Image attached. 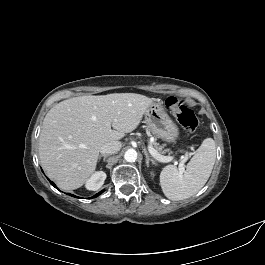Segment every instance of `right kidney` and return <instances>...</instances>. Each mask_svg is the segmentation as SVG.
Returning a JSON list of instances; mask_svg holds the SVG:
<instances>
[{"mask_svg":"<svg viewBox=\"0 0 265 265\" xmlns=\"http://www.w3.org/2000/svg\"><path fill=\"white\" fill-rule=\"evenodd\" d=\"M106 179V174L103 171L94 173L90 179L86 182V188L88 190L96 191L102 187Z\"/></svg>","mask_w":265,"mask_h":265,"instance_id":"right-kidney-1","label":"right kidney"}]
</instances>
